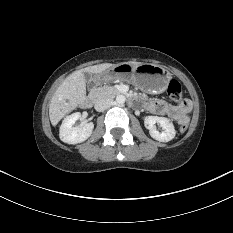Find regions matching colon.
I'll list each match as a JSON object with an SVG mask.
<instances>
[{"label": "colon", "instance_id": "obj_1", "mask_svg": "<svg viewBox=\"0 0 233 233\" xmlns=\"http://www.w3.org/2000/svg\"><path fill=\"white\" fill-rule=\"evenodd\" d=\"M167 94L172 101L179 102L183 100V89L179 81L173 79L169 82ZM179 125L180 130L185 131L188 127V119L183 120Z\"/></svg>", "mask_w": 233, "mask_h": 233}]
</instances>
